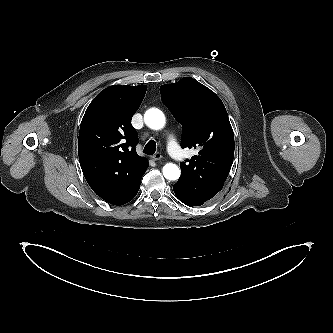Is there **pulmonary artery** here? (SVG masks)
<instances>
[{"label": "pulmonary artery", "instance_id": "obj_1", "mask_svg": "<svg viewBox=\"0 0 333 333\" xmlns=\"http://www.w3.org/2000/svg\"><path fill=\"white\" fill-rule=\"evenodd\" d=\"M168 150L170 154L177 160H180L182 158V152L181 149L176 141V139L170 135L168 137V142H167Z\"/></svg>", "mask_w": 333, "mask_h": 333}]
</instances>
